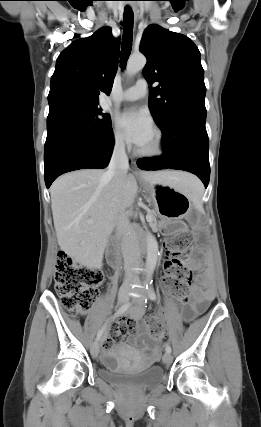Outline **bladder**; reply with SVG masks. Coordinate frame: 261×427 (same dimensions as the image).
Returning a JSON list of instances; mask_svg holds the SVG:
<instances>
[{
    "instance_id": "obj_1",
    "label": "bladder",
    "mask_w": 261,
    "mask_h": 427,
    "mask_svg": "<svg viewBox=\"0 0 261 427\" xmlns=\"http://www.w3.org/2000/svg\"><path fill=\"white\" fill-rule=\"evenodd\" d=\"M98 375L112 385L141 391L160 385L165 378V372L160 366H152L142 371L134 370L122 366L113 353L103 357Z\"/></svg>"
}]
</instances>
